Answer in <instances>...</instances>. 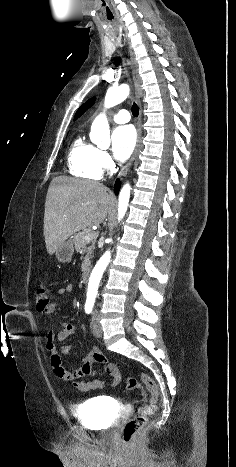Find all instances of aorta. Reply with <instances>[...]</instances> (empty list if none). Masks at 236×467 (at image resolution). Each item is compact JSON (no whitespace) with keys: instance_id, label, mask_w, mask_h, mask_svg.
Instances as JSON below:
<instances>
[{"instance_id":"aorta-1","label":"aorta","mask_w":236,"mask_h":467,"mask_svg":"<svg viewBox=\"0 0 236 467\" xmlns=\"http://www.w3.org/2000/svg\"><path fill=\"white\" fill-rule=\"evenodd\" d=\"M130 88L127 84H121L118 87H111L107 90L104 100L105 108L113 107L121 102H123L129 95ZM109 137V123L105 113L98 115L92 125L90 132V139L97 146H103L104 142L108 140ZM130 190L131 186L129 183H126L119 194L118 202V220H122L126 214L129 199H130ZM111 253L107 250L102 257L98 260L95 267L93 268L87 288V300H95L98 292V287L102 275L110 261Z\"/></svg>"}]
</instances>
